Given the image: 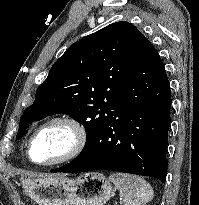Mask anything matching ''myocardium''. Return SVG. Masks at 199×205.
<instances>
[{
    "instance_id": "obj_1",
    "label": "myocardium",
    "mask_w": 199,
    "mask_h": 205,
    "mask_svg": "<svg viewBox=\"0 0 199 205\" xmlns=\"http://www.w3.org/2000/svg\"><path fill=\"white\" fill-rule=\"evenodd\" d=\"M61 125L67 127L72 133V143L68 150L60 157L47 161V162H38L35 161L32 157V148L36 137L45 129L53 126ZM88 143V131L85 125L77 118L68 115L55 116L41 124L34 133L30 136L27 144V155L29 160L40 166H54L69 162L77 158L85 149Z\"/></svg>"
}]
</instances>
